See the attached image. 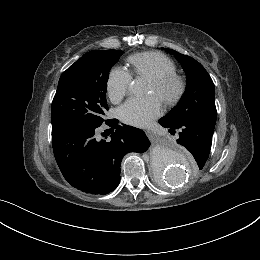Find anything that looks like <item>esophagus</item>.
<instances>
[{"label":"esophagus","mask_w":260,"mask_h":260,"mask_svg":"<svg viewBox=\"0 0 260 260\" xmlns=\"http://www.w3.org/2000/svg\"><path fill=\"white\" fill-rule=\"evenodd\" d=\"M146 134H147V136L150 138V140H155L156 139V134H154L153 133V131H151V130H146Z\"/></svg>","instance_id":"esophagus-1"}]
</instances>
